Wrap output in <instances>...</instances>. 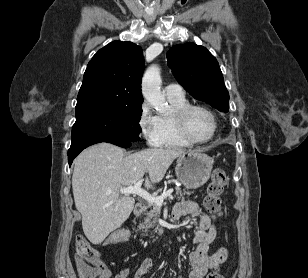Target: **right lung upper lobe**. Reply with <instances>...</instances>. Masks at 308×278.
I'll return each mask as SVG.
<instances>
[{
    "label": "right lung upper lobe",
    "instance_id": "1",
    "mask_svg": "<svg viewBox=\"0 0 308 278\" xmlns=\"http://www.w3.org/2000/svg\"><path fill=\"white\" fill-rule=\"evenodd\" d=\"M143 70L144 59L139 46L122 41L109 43L93 56L86 68L75 115L141 106Z\"/></svg>",
    "mask_w": 308,
    "mask_h": 278
}]
</instances>
